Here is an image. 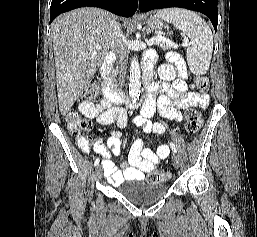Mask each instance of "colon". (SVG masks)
Returning a JSON list of instances; mask_svg holds the SVG:
<instances>
[{
  "label": "colon",
  "instance_id": "obj_1",
  "mask_svg": "<svg viewBox=\"0 0 257 237\" xmlns=\"http://www.w3.org/2000/svg\"><path fill=\"white\" fill-rule=\"evenodd\" d=\"M209 86V79L205 75L196 76L192 88L198 92H206ZM99 96V85L96 81H92L84 92V99L94 100ZM68 130L71 135L77 136L83 131H89L92 128L91 121L81 118L75 111L65 113ZM203 123L202 115L199 111L191 109L186 114L185 130L190 135H195L200 130ZM170 174L167 170H158L152 172L147 181L151 183L164 182L169 178Z\"/></svg>",
  "mask_w": 257,
  "mask_h": 237
}]
</instances>
